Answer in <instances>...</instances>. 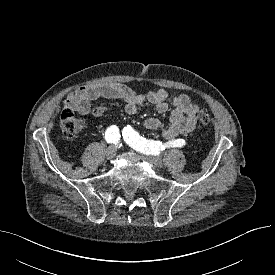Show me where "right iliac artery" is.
Returning a JSON list of instances; mask_svg holds the SVG:
<instances>
[{
	"label": "right iliac artery",
	"instance_id": "1",
	"mask_svg": "<svg viewBox=\"0 0 275 275\" xmlns=\"http://www.w3.org/2000/svg\"><path fill=\"white\" fill-rule=\"evenodd\" d=\"M120 139V133L117 126H110L105 133V140L107 143H118Z\"/></svg>",
	"mask_w": 275,
	"mask_h": 275
}]
</instances>
